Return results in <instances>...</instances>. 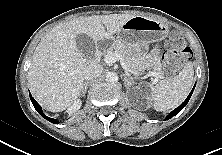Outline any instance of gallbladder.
Listing matches in <instances>:
<instances>
[{
  "mask_svg": "<svg viewBox=\"0 0 222 155\" xmlns=\"http://www.w3.org/2000/svg\"><path fill=\"white\" fill-rule=\"evenodd\" d=\"M76 44L79 51L86 58H92L95 53L94 41L86 34H79L76 37Z\"/></svg>",
  "mask_w": 222,
  "mask_h": 155,
  "instance_id": "gallbladder-1",
  "label": "gallbladder"
}]
</instances>
